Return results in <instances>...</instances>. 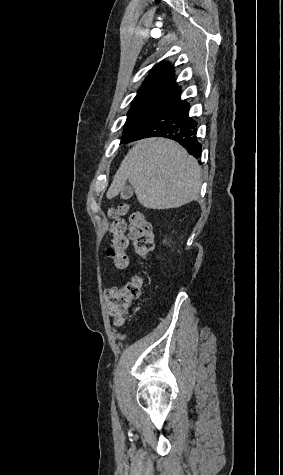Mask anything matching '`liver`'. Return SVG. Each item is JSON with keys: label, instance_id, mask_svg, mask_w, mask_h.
<instances>
[{"label": "liver", "instance_id": "obj_1", "mask_svg": "<svg viewBox=\"0 0 283 475\" xmlns=\"http://www.w3.org/2000/svg\"><path fill=\"white\" fill-rule=\"evenodd\" d=\"M201 168L186 150L173 140H139L122 160L107 192L108 200L118 196L127 180L144 208H180L196 200L201 188Z\"/></svg>", "mask_w": 283, "mask_h": 475}]
</instances>
